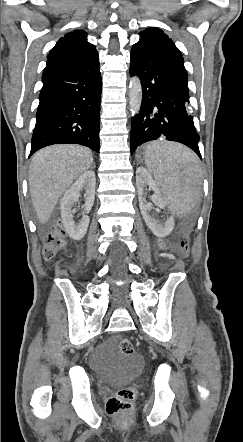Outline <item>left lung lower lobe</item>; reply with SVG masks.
<instances>
[{
    "label": "left lung lower lobe",
    "mask_w": 243,
    "mask_h": 442,
    "mask_svg": "<svg viewBox=\"0 0 243 442\" xmlns=\"http://www.w3.org/2000/svg\"><path fill=\"white\" fill-rule=\"evenodd\" d=\"M130 74L142 85V106L132 118L130 150L148 141L180 142L201 158L199 135L187 113L189 89L181 52L155 36H143L131 50Z\"/></svg>",
    "instance_id": "1"
}]
</instances>
